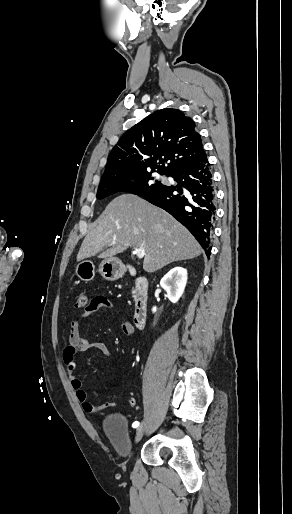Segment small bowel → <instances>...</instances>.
<instances>
[{
	"label": "small bowel",
	"instance_id": "1",
	"mask_svg": "<svg viewBox=\"0 0 292 514\" xmlns=\"http://www.w3.org/2000/svg\"><path fill=\"white\" fill-rule=\"evenodd\" d=\"M113 304L109 298L104 295H96L94 296L90 303L89 308L80 315V319L86 318L91 313L98 311L99 309H112ZM122 329L127 336H134L136 333V328L127 322H122ZM89 349H95L103 353L105 356H110V349L106 343L99 340H90L87 337H84L80 333V324L79 319H74L71 321L69 326V335L67 344L64 347L62 357L66 367L67 372L69 373V382L71 388L76 393V396L81 404H83L82 409L84 412L93 415L95 412L100 413L101 411L109 410V405H115V400L106 401V404H92L88 401V396L86 391L83 389L82 381L73 375L76 370V358L75 355L79 351H85ZM120 369H122V365H120ZM121 383V380L118 379L112 383V386H116ZM134 393L129 392L127 400L130 402L132 406H136L138 401L134 399Z\"/></svg>",
	"mask_w": 292,
	"mask_h": 514
}]
</instances>
